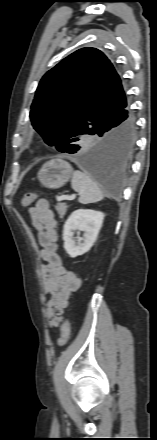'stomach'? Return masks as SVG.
I'll return each instance as SVG.
<instances>
[{"instance_id":"obj_1","label":"stomach","mask_w":157,"mask_h":440,"mask_svg":"<svg viewBox=\"0 0 157 440\" xmlns=\"http://www.w3.org/2000/svg\"><path fill=\"white\" fill-rule=\"evenodd\" d=\"M73 172L72 166L67 161L51 159L42 165L37 178L44 187L56 189L65 185Z\"/></svg>"}]
</instances>
